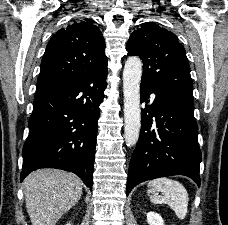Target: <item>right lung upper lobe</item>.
Returning <instances> with one entry per match:
<instances>
[{
    "label": "right lung upper lobe",
    "instance_id": "cb5924a9",
    "mask_svg": "<svg viewBox=\"0 0 228 225\" xmlns=\"http://www.w3.org/2000/svg\"><path fill=\"white\" fill-rule=\"evenodd\" d=\"M107 65L105 41L90 19L71 23L49 41L37 89L77 80Z\"/></svg>",
    "mask_w": 228,
    "mask_h": 225
}]
</instances>
